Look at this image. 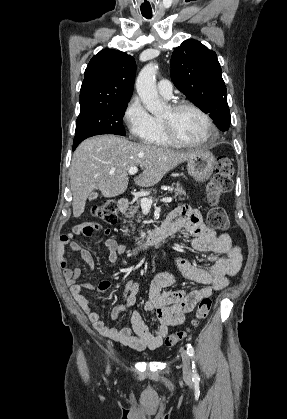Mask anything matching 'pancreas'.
<instances>
[{"instance_id": "obj_1", "label": "pancreas", "mask_w": 287, "mask_h": 419, "mask_svg": "<svg viewBox=\"0 0 287 419\" xmlns=\"http://www.w3.org/2000/svg\"><path fill=\"white\" fill-rule=\"evenodd\" d=\"M174 184H172L171 187H173ZM175 196H178L180 200H182V196H186V191L180 186L179 183H176L175 188ZM141 204L140 201H136L135 205H132L128 208V212L125 213L126 218L130 219L129 223H131L132 219L136 218L137 222H141L143 219L142 212L139 210Z\"/></svg>"}]
</instances>
